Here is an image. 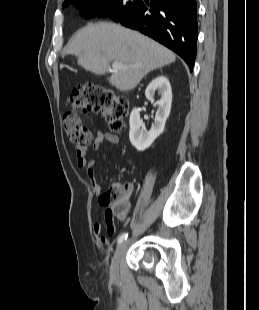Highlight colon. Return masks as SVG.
<instances>
[{"label":"colon","instance_id":"1","mask_svg":"<svg viewBox=\"0 0 259 310\" xmlns=\"http://www.w3.org/2000/svg\"><path fill=\"white\" fill-rule=\"evenodd\" d=\"M70 108L64 114V128L69 140L77 146L92 142V135L79 113L101 114L112 132L123 127L122 119L128 111V101L115 91L97 84H84L73 89ZM129 199L125 186L115 185L101 194L99 201L106 213L122 214Z\"/></svg>","mask_w":259,"mask_h":310}]
</instances>
